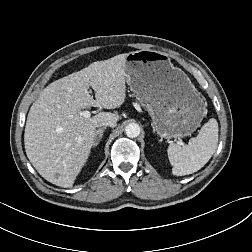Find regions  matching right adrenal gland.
Masks as SVG:
<instances>
[{"instance_id": "obj_1", "label": "right adrenal gland", "mask_w": 252, "mask_h": 252, "mask_svg": "<svg viewBox=\"0 0 252 252\" xmlns=\"http://www.w3.org/2000/svg\"><path fill=\"white\" fill-rule=\"evenodd\" d=\"M106 129V127L100 128L96 131L95 133V142L94 145H98V143L100 142L102 136H103V132Z\"/></svg>"}]
</instances>
